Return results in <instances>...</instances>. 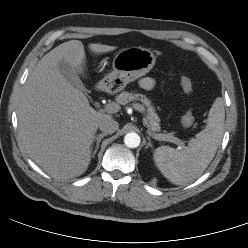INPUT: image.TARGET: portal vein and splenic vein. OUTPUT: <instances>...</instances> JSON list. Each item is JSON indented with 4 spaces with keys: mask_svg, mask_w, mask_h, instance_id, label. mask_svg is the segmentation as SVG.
I'll return each mask as SVG.
<instances>
[{
    "mask_svg": "<svg viewBox=\"0 0 248 248\" xmlns=\"http://www.w3.org/2000/svg\"><path fill=\"white\" fill-rule=\"evenodd\" d=\"M132 107L135 110L139 111V112H143L144 111V107L141 104H139V103H133L132 104ZM105 110L108 111V112H110V113H116V112H118L120 110V106L117 103H115V102H111V103H108L106 105ZM153 138L156 139V140L159 139L158 136H154ZM169 141L177 144L179 146V148H182L183 147L181 140L178 139V138H176V137H171Z\"/></svg>",
    "mask_w": 248,
    "mask_h": 248,
    "instance_id": "18ae733b",
    "label": "portal vein and splenic vein"
}]
</instances>
